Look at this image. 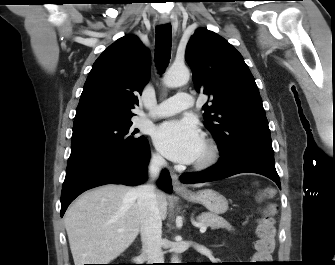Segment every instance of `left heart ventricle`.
Wrapping results in <instances>:
<instances>
[{"instance_id":"obj_1","label":"left heart ventricle","mask_w":335,"mask_h":265,"mask_svg":"<svg viewBox=\"0 0 335 265\" xmlns=\"http://www.w3.org/2000/svg\"><path fill=\"white\" fill-rule=\"evenodd\" d=\"M205 153H206V148H205V145H204L199 157L197 158V160L201 159L205 155Z\"/></svg>"}]
</instances>
